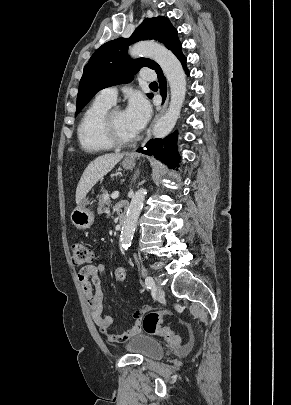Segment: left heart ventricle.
<instances>
[{
  "label": "left heart ventricle",
  "mask_w": 291,
  "mask_h": 405,
  "mask_svg": "<svg viewBox=\"0 0 291 405\" xmlns=\"http://www.w3.org/2000/svg\"><path fill=\"white\" fill-rule=\"evenodd\" d=\"M113 123L117 134L123 139H131L136 134L130 128L124 111H118L114 114Z\"/></svg>",
  "instance_id": "left-heart-ventricle-1"
}]
</instances>
